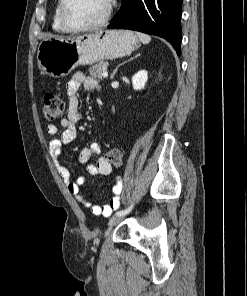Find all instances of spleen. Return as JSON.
Wrapping results in <instances>:
<instances>
[{
    "label": "spleen",
    "mask_w": 247,
    "mask_h": 296,
    "mask_svg": "<svg viewBox=\"0 0 247 296\" xmlns=\"http://www.w3.org/2000/svg\"><path fill=\"white\" fill-rule=\"evenodd\" d=\"M136 35L143 44H148L151 41V37L147 34L137 32Z\"/></svg>",
    "instance_id": "obj_1"
}]
</instances>
